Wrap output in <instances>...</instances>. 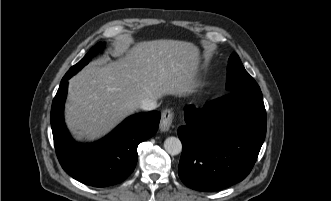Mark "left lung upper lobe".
<instances>
[{
  "instance_id": "5c2ea615",
  "label": "left lung upper lobe",
  "mask_w": 331,
  "mask_h": 201,
  "mask_svg": "<svg viewBox=\"0 0 331 201\" xmlns=\"http://www.w3.org/2000/svg\"><path fill=\"white\" fill-rule=\"evenodd\" d=\"M256 81L243 67L239 56L233 53L228 61L226 89L229 92L242 89H258Z\"/></svg>"
}]
</instances>
